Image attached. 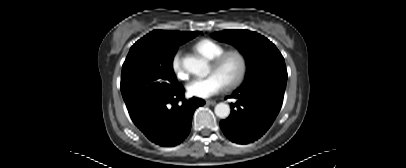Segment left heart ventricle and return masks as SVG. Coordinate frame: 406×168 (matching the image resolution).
I'll list each match as a JSON object with an SVG mask.
<instances>
[{
	"mask_svg": "<svg viewBox=\"0 0 406 168\" xmlns=\"http://www.w3.org/2000/svg\"><path fill=\"white\" fill-rule=\"evenodd\" d=\"M239 72V62L234 56H230L225 60L223 65L218 69L209 68L210 74L217 75L224 84L233 81Z\"/></svg>",
	"mask_w": 406,
	"mask_h": 168,
	"instance_id": "1",
	"label": "left heart ventricle"
}]
</instances>
